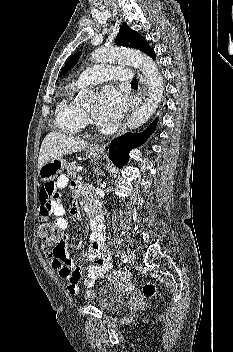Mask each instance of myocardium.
Returning <instances> with one entry per match:
<instances>
[{"mask_svg": "<svg viewBox=\"0 0 233 352\" xmlns=\"http://www.w3.org/2000/svg\"><path fill=\"white\" fill-rule=\"evenodd\" d=\"M83 114H84L85 120L90 121V115L86 111H83Z\"/></svg>", "mask_w": 233, "mask_h": 352, "instance_id": "obj_1", "label": "myocardium"}]
</instances>
